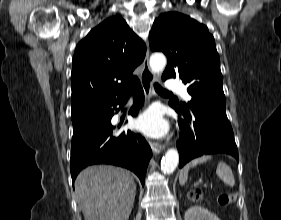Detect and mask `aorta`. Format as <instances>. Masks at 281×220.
I'll use <instances>...</instances> for the list:
<instances>
[{
  "instance_id": "762f6f07",
  "label": "aorta",
  "mask_w": 281,
  "mask_h": 220,
  "mask_svg": "<svg viewBox=\"0 0 281 220\" xmlns=\"http://www.w3.org/2000/svg\"><path fill=\"white\" fill-rule=\"evenodd\" d=\"M151 70L154 74H160L164 71L167 60L164 54L154 53L149 61ZM179 163V153L176 149H169L161 160V169L166 174H171L175 171Z\"/></svg>"
}]
</instances>
